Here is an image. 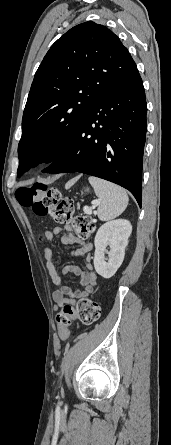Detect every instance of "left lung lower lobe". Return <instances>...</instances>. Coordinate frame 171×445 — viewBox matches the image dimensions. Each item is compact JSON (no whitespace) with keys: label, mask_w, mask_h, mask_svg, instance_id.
<instances>
[{"label":"left lung lower lobe","mask_w":171,"mask_h":445,"mask_svg":"<svg viewBox=\"0 0 171 445\" xmlns=\"http://www.w3.org/2000/svg\"><path fill=\"white\" fill-rule=\"evenodd\" d=\"M147 105L137 68L85 112L46 173L80 172L129 190L141 206Z\"/></svg>","instance_id":"obj_1"}]
</instances>
